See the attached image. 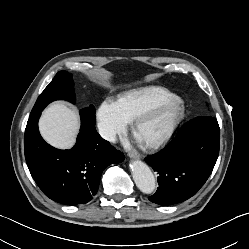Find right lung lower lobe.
<instances>
[{"label": "right lung lower lobe", "instance_id": "98d812e1", "mask_svg": "<svg viewBox=\"0 0 249 249\" xmlns=\"http://www.w3.org/2000/svg\"><path fill=\"white\" fill-rule=\"evenodd\" d=\"M41 111L30 114L25 130L24 150L30 173L50 199L67 205L85 204L96 194L103 170L122 162L124 155L96 132L95 124L82 119L72 149L50 146L38 130Z\"/></svg>", "mask_w": 249, "mask_h": 249}]
</instances>
